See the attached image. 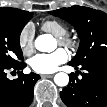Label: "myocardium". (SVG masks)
Listing matches in <instances>:
<instances>
[{"instance_id": "obj_1", "label": "myocardium", "mask_w": 107, "mask_h": 107, "mask_svg": "<svg viewBox=\"0 0 107 107\" xmlns=\"http://www.w3.org/2000/svg\"><path fill=\"white\" fill-rule=\"evenodd\" d=\"M57 42L60 46L69 50L76 49L78 45L76 38L69 34H64L60 37H57Z\"/></svg>"}]
</instances>
